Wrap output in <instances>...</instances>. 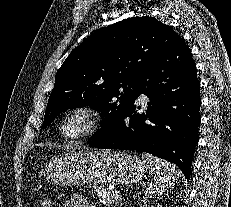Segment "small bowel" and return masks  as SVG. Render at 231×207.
<instances>
[{
	"instance_id": "1",
	"label": "small bowel",
	"mask_w": 231,
	"mask_h": 207,
	"mask_svg": "<svg viewBox=\"0 0 231 207\" xmlns=\"http://www.w3.org/2000/svg\"><path fill=\"white\" fill-rule=\"evenodd\" d=\"M63 207H95L90 204L87 199L82 195H72L63 204Z\"/></svg>"
}]
</instances>
